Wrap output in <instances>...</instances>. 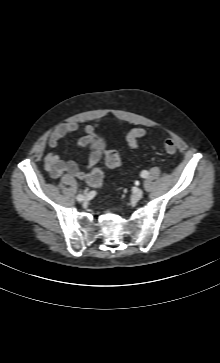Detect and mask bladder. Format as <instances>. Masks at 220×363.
Masks as SVG:
<instances>
[{"instance_id": "31cf9c89", "label": "bladder", "mask_w": 220, "mask_h": 363, "mask_svg": "<svg viewBox=\"0 0 220 363\" xmlns=\"http://www.w3.org/2000/svg\"><path fill=\"white\" fill-rule=\"evenodd\" d=\"M96 144H98V145L102 146L103 142H102L101 140H97V141H96Z\"/></svg>"}]
</instances>
